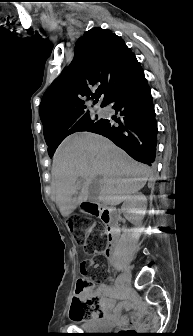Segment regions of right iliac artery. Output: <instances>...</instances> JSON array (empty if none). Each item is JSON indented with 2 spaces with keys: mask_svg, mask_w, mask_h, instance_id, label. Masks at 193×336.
<instances>
[{
  "mask_svg": "<svg viewBox=\"0 0 193 336\" xmlns=\"http://www.w3.org/2000/svg\"><path fill=\"white\" fill-rule=\"evenodd\" d=\"M121 280H122V275H119V276L116 278L115 283H114V285H115L116 288H118V287L121 286ZM113 294H114V297H115V298H119V297H120V294H119L116 290L113 291Z\"/></svg>",
  "mask_w": 193,
  "mask_h": 336,
  "instance_id": "right-iliac-artery-1",
  "label": "right iliac artery"
}]
</instances>
